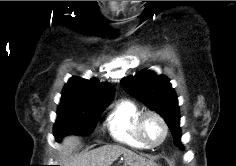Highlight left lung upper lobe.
<instances>
[{"instance_id":"left-lung-upper-lobe-1","label":"left lung upper lobe","mask_w":236,"mask_h":166,"mask_svg":"<svg viewBox=\"0 0 236 166\" xmlns=\"http://www.w3.org/2000/svg\"><path fill=\"white\" fill-rule=\"evenodd\" d=\"M121 84L128 93L157 111L168 126L180 122L178 99L167 77L144 70L122 79Z\"/></svg>"}]
</instances>
